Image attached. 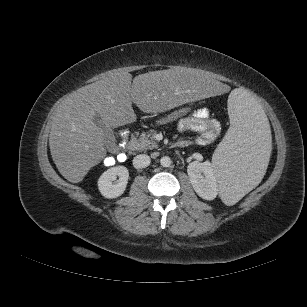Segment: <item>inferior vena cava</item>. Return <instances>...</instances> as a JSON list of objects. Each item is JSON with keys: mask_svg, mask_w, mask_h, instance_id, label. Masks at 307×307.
<instances>
[{"mask_svg": "<svg viewBox=\"0 0 307 307\" xmlns=\"http://www.w3.org/2000/svg\"><path fill=\"white\" fill-rule=\"evenodd\" d=\"M151 159L146 154H139L134 157L133 159V166L136 169L145 168L150 165Z\"/></svg>", "mask_w": 307, "mask_h": 307, "instance_id": "1", "label": "inferior vena cava"}]
</instances>
